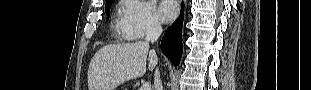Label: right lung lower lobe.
<instances>
[{
  "label": "right lung lower lobe",
  "instance_id": "1",
  "mask_svg": "<svg viewBox=\"0 0 311 90\" xmlns=\"http://www.w3.org/2000/svg\"><path fill=\"white\" fill-rule=\"evenodd\" d=\"M183 7L179 18L166 30L161 41V50L173 65H178L182 56Z\"/></svg>",
  "mask_w": 311,
  "mask_h": 90
}]
</instances>
